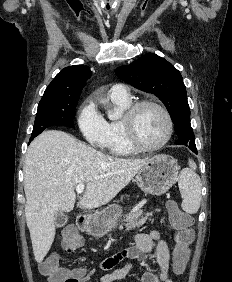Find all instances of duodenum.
<instances>
[{
  "label": "duodenum",
  "instance_id": "duodenum-1",
  "mask_svg": "<svg viewBox=\"0 0 232 282\" xmlns=\"http://www.w3.org/2000/svg\"><path fill=\"white\" fill-rule=\"evenodd\" d=\"M77 226L81 230H86L89 227V219L86 216H79L77 219Z\"/></svg>",
  "mask_w": 232,
  "mask_h": 282
}]
</instances>
